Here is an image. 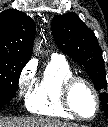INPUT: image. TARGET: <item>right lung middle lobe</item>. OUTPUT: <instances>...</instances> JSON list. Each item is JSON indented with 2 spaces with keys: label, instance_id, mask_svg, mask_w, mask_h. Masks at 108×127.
Returning a JSON list of instances; mask_svg holds the SVG:
<instances>
[{
  "label": "right lung middle lobe",
  "instance_id": "1",
  "mask_svg": "<svg viewBox=\"0 0 108 127\" xmlns=\"http://www.w3.org/2000/svg\"><path fill=\"white\" fill-rule=\"evenodd\" d=\"M27 62L0 55V100H11L18 89L20 72Z\"/></svg>",
  "mask_w": 108,
  "mask_h": 127
}]
</instances>
